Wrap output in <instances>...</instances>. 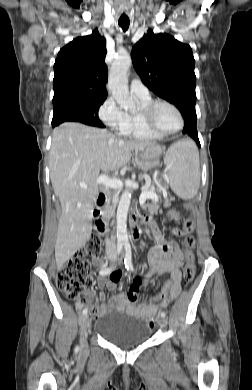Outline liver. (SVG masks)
<instances>
[{"label": "liver", "mask_w": 252, "mask_h": 390, "mask_svg": "<svg viewBox=\"0 0 252 390\" xmlns=\"http://www.w3.org/2000/svg\"><path fill=\"white\" fill-rule=\"evenodd\" d=\"M150 147L161 149L151 142L121 140L107 130L81 123L67 122L53 130L50 178L62 207L55 244L58 268L91 236L100 171H117L130 161L132 151ZM82 182L86 188L80 186Z\"/></svg>", "instance_id": "liver-1"}]
</instances>
